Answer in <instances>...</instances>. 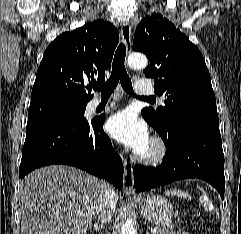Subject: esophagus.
Listing matches in <instances>:
<instances>
[{"mask_svg":"<svg viewBox=\"0 0 241 234\" xmlns=\"http://www.w3.org/2000/svg\"><path fill=\"white\" fill-rule=\"evenodd\" d=\"M121 38L127 52H130L132 48V32L131 25L128 22L123 23L121 26ZM124 192L129 196L135 195L133 167L126 162L124 164Z\"/></svg>","mask_w":241,"mask_h":234,"instance_id":"1","label":"esophagus"}]
</instances>
